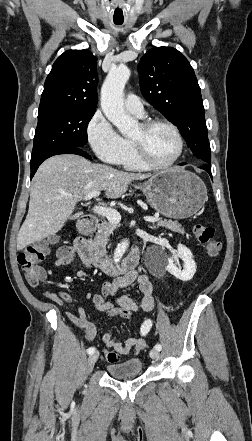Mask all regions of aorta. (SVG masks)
I'll return each instance as SVG.
<instances>
[{
    "label": "aorta",
    "instance_id": "obj_1",
    "mask_svg": "<svg viewBox=\"0 0 252 441\" xmlns=\"http://www.w3.org/2000/svg\"><path fill=\"white\" fill-rule=\"evenodd\" d=\"M130 74V69L125 65L112 68L101 88V108L123 135H130L136 125V121L125 112L123 102V90ZM128 245V240L118 244L113 257L115 263L120 262Z\"/></svg>",
    "mask_w": 252,
    "mask_h": 441
}]
</instances>
